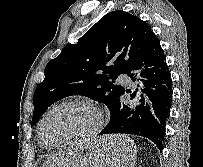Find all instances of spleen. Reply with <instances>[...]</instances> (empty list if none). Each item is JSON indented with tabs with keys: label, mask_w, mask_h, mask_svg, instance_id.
Masks as SVG:
<instances>
[{
	"label": "spleen",
	"mask_w": 203,
	"mask_h": 167,
	"mask_svg": "<svg viewBox=\"0 0 203 167\" xmlns=\"http://www.w3.org/2000/svg\"><path fill=\"white\" fill-rule=\"evenodd\" d=\"M136 153V147L131 141L128 145L117 146L113 152V167H133Z\"/></svg>",
	"instance_id": "1"
}]
</instances>
